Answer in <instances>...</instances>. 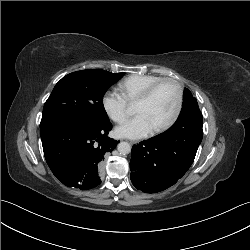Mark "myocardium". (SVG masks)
Masks as SVG:
<instances>
[{"mask_svg":"<svg viewBox=\"0 0 250 250\" xmlns=\"http://www.w3.org/2000/svg\"><path fill=\"white\" fill-rule=\"evenodd\" d=\"M164 83H172L175 85L176 90H177L176 107H175L172 117L165 124H163L162 126L152 131L153 135H157V134L167 131L175 124V122L179 118V115L182 109V104H183V87L181 83L174 78H169V77L162 78L156 81L155 83H153L152 85H150L135 102L136 104H139V103H145L149 101L154 95V93L156 92V90Z\"/></svg>","mask_w":250,"mask_h":250,"instance_id":"obj_1","label":"myocardium"}]
</instances>
